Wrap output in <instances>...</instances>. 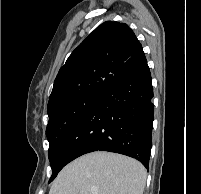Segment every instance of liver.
Returning a JSON list of instances; mask_svg holds the SVG:
<instances>
[{"label":"liver","mask_w":201,"mask_h":194,"mask_svg":"<svg viewBox=\"0 0 201 194\" xmlns=\"http://www.w3.org/2000/svg\"><path fill=\"white\" fill-rule=\"evenodd\" d=\"M146 169L130 157L97 151L65 166L49 194H143Z\"/></svg>","instance_id":"6515ba94"}]
</instances>
